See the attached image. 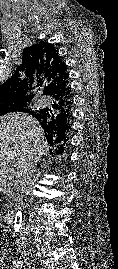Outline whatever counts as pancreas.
I'll use <instances>...</instances> for the list:
<instances>
[{
    "label": "pancreas",
    "mask_w": 118,
    "mask_h": 269,
    "mask_svg": "<svg viewBox=\"0 0 118 269\" xmlns=\"http://www.w3.org/2000/svg\"><path fill=\"white\" fill-rule=\"evenodd\" d=\"M8 182H9L8 179L0 178V191L8 192L11 190L10 184Z\"/></svg>",
    "instance_id": "cf45deb5"
}]
</instances>
